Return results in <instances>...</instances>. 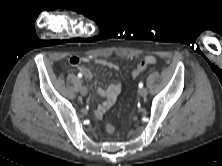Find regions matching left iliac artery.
<instances>
[{
	"label": "left iliac artery",
	"instance_id": "44dca946",
	"mask_svg": "<svg viewBox=\"0 0 222 166\" xmlns=\"http://www.w3.org/2000/svg\"><path fill=\"white\" fill-rule=\"evenodd\" d=\"M142 87H143V83L140 82V83H139V88H142Z\"/></svg>",
	"mask_w": 222,
	"mask_h": 166
}]
</instances>
